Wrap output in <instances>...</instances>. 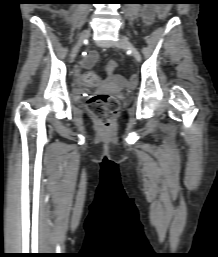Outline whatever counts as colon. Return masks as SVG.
<instances>
[{
    "label": "colon",
    "mask_w": 218,
    "mask_h": 257,
    "mask_svg": "<svg viewBox=\"0 0 218 257\" xmlns=\"http://www.w3.org/2000/svg\"><path fill=\"white\" fill-rule=\"evenodd\" d=\"M173 2H162L158 5L157 16H161L160 24H165L166 16H170ZM116 62L110 61L104 67V74H96V70H89L88 67L82 68V80L78 81L79 85L94 87L95 90H102L103 86L100 80L97 79H112L113 75H117ZM109 82L108 80L106 81ZM137 82V76L132 75L130 84L134 85ZM120 108L119 100L106 92H98L92 95L88 100L89 111L104 125L109 126L111 120L117 115Z\"/></svg>",
    "instance_id": "colon-1"
}]
</instances>
